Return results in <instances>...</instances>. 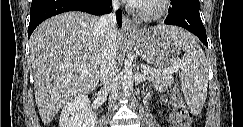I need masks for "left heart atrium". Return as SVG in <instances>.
<instances>
[{
  "label": "left heart atrium",
  "instance_id": "1",
  "mask_svg": "<svg viewBox=\"0 0 243 127\" xmlns=\"http://www.w3.org/2000/svg\"><path fill=\"white\" fill-rule=\"evenodd\" d=\"M142 2H144V1L143 0H128V3L130 5H135V6H137L138 4H140Z\"/></svg>",
  "mask_w": 243,
  "mask_h": 127
}]
</instances>
